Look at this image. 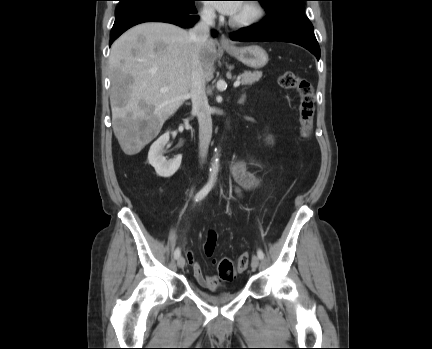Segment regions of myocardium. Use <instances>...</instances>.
Segmentation results:
<instances>
[{
    "instance_id": "1",
    "label": "myocardium",
    "mask_w": 432,
    "mask_h": 349,
    "mask_svg": "<svg viewBox=\"0 0 432 349\" xmlns=\"http://www.w3.org/2000/svg\"><path fill=\"white\" fill-rule=\"evenodd\" d=\"M246 4L252 9V14L245 18L231 17L229 19L230 25L237 28H246L259 23L265 16V9L263 5L256 0H249Z\"/></svg>"
}]
</instances>
